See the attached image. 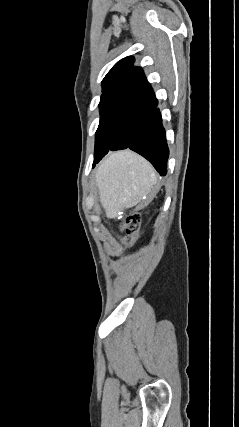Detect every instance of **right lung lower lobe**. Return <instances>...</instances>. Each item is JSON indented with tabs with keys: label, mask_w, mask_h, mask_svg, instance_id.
Listing matches in <instances>:
<instances>
[{
	"label": "right lung lower lobe",
	"mask_w": 239,
	"mask_h": 427,
	"mask_svg": "<svg viewBox=\"0 0 239 427\" xmlns=\"http://www.w3.org/2000/svg\"><path fill=\"white\" fill-rule=\"evenodd\" d=\"M148 101L150 102L149 111L138 122L130 135L128 145L123 149L129 148L142 155L160 175L165 176L169 156L165 130L162 126L160 111L157 108V99L154 97Z\"/></svg>",
	"instance_id": "obj_1"
}]
</instances>
